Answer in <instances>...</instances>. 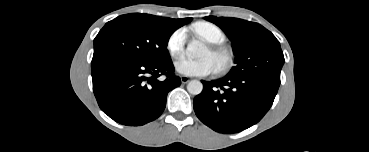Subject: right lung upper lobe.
<instances>
[{"mask_svg": "<svg viewBox=\"0 0 369 152\" xmlns=\"http://www.w3.org/2000/svg\"><path fill=\"white\" fill-rule=\"evenodd\" d=\"M136 14L140 17H143V18L147 19V20L164 23V24L170 25L172 27H175L177 29L179 27L189 23L192 20V18L171 19V18H167V17H158V16L149 15V14H141V13H136Z\"/></svg>", "mask_w": 369, "mask_h": 152, "instance_id": "1", "label": "right lung upper lobe"}]
</instances>
